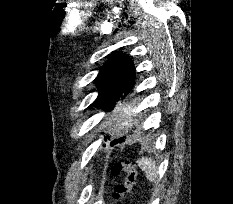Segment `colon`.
<instances>
[{"mask_svg": "<svg viewBox=\"0 0 233 204\" xmlns=\"http://www.w3.org/2000/svg\"><path fill=\"white\" fill-rule=\"evenodd\" d=\"M113 176L125 175L124 181L116 185L112 194L115 203H122L133 190L138 176L134 164L128 160L120 159L111 168Z\"/></svg>", "mask_w": 233, "mask_h": 204, "instance_id": "5ec220e1", "label": "colon"}]
</instances>
